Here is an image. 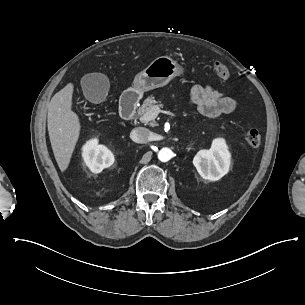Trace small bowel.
<instances>
[{
    "label": "small bowel",
    "instance_id": "obj_1",
    "mask_svg": "<svg viewBox=\"0 0 305 305\" xmlns=\"http://www.w3.org/2000/svg\"><path fill=\"white\" fill-rule=\"evenodd\" d=\"M190 102L206 117L229 114L237 107V103L233 98L224 95L209 85L203 84H196L192 87Z\"/></svg>",
    "mask_w": 305,
    "mask_h": 305
}]
</instances>
